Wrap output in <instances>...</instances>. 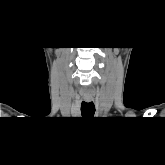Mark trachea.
Here are the masks:
<instances>
[{"label":"trachea","mask_w":165,"mask_h":165,"mask_svg":"<svg viewBox=\"0 0 165 165\" xmlns=\"http://www.w3.org/2000/svg\"><path fill=\"white\" fill-rule=\"evenodd\" d=\"M81 113L83 117H92L95 113V105L93 102H82Z\"/></svg>","instance_id":"3493384b"}]
</instances>
